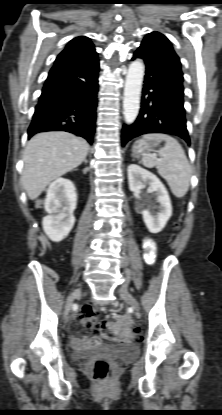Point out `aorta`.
Returning <instances> with one entry per match:
<instances>
[{
    "label": "aorta",
    "mask_w": 222,
    "mask_h": 415,
    "mask_svg": "<svg viewBox=\"0 0 222 415\" xmlns=\"http://www.w3.org/2000/svg\"><path fill=\"white\" fill-rule=\"evenodd\" d=\"M145 66L141 60L129 65L125 81L123 114L127 124H132L138 116Z\"/></svg>",
    "instance_id": "obj_1"
}]
</instances>
